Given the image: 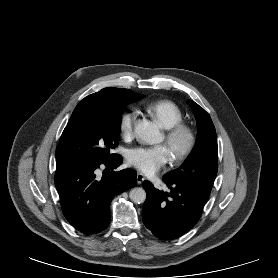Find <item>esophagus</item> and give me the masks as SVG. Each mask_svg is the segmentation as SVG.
I'll return each mask as SVG.
<instances>
[{
    "instance_id": "1",
    "label": "esophagus",
    "mask_w": 278,
    "mask_h": 278,
    "mask_svg": "<svg viewBox=\"0 0 278 278\" xmlns=\"http://www.w3.org/2000/svg\"><path fill=\"white\" fill-rule=\"evenodd\" d=\"M145 180V177L142 173L137 174V184H142V182Z\"/></svg>"
}]
</instances>
